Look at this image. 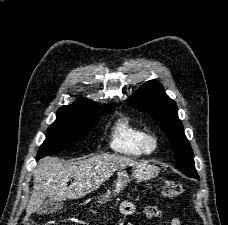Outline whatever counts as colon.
Here are the masks:
<instances>
[{
  "instance_id": "5ec220e1",
  "label": "colon",
  "mask_w": 228,
  "mask_h": 225,
  "mask_svg": "<svg viewBox=\"0 0 228 225\" xmlns=\"http://www.w3.org/2000/svg\"><path fill=\"white\" fill-rule=\"evenodd\" d=\"M163 195L167 199H176L184 193V187L181 181L177 179H167L163 184ZM29 225H38L37 222H31Z\"/></svg>"
}]
</instances>
